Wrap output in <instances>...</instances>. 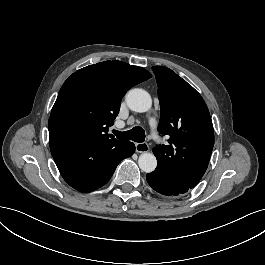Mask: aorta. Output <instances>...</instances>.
<instances>
[{
  "label": "aorta",
  "mask_w": 265,
  "mask_h": 265,
  "mask_svg": "<svg viewBox=\"0 0 265 265\" xmlns=\"http://www.w3.org/2000/svg\"><path fill=\"white\" fill-rule=\"evenodd\" d=\"M128 108L132 111L143 113L148 111L152 106L150 94L140 88L131 89L125 96ZM138 165L146 173L153 172L157 167L156 157L152 153H143L139 156Z\"/></svg>",
  "instance_id": "762f6f07"
}]
</instances>
